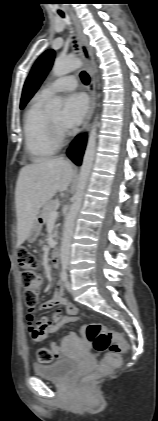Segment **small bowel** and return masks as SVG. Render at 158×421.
<instances>
[{"mask_svg":"<svg viewBox=\"0 0 158 421\" xmlns=\"http://www.w3.org/2000/svg\"><path fill=\"white\" fill-rule=\"evenodd\" d=\"M57 306L63 307L65 312L55 313L52 319L44 318L38 321L34 315H28V332L33 342H40L47 339L51 334L55 333L62 324L74 321L77 318V308L64 297V286L61 282L56 284L53 297L42 303L40 308L50 309ZM76 341L77 337L75 334L70 333L63 339L62 343L52 342L50 345L51 350L56 357H61L65 352V347Z\"/></svg>","mask_w":158,"mask_h":421,"instance_id":"obj_1","label":"small bowel"}]
</instances>
